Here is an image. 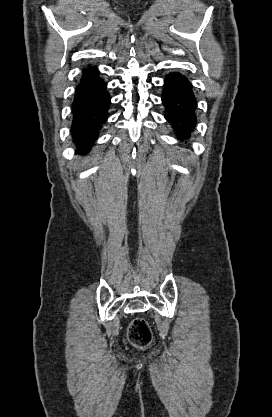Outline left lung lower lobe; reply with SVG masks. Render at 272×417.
Returning <instances> with one entry per match:
<instances>
[{"label": "left lung lower lobe", "mask_w": 272, "mask_h": 417, "mask_svg": "<svg viewBox=\"0 0 272 417\" xmlns=\"http://www.w3.org/2000/svg\"><path fill=\"white\" fill-rule=\"evenodd\" d=\"M165 118L180 140L189 138L197 123V101L188 79L179 72L166 76L162 92Z\"/></svg>", "instance_id": "obj_1"}]
</instances>
